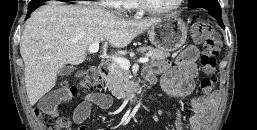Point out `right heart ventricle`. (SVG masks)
<instances>
[{
	"instance_id": "obj_1",
	"label": "right heart ventricle",
	"mask_w": 257,
	"mask_h": 130,
	"mask_svg": "<svg viewBox=\"0 0 257 130\" xmlns=\"http://www.w3.org/2000/svg\"><path fill=\"white\" fill-rule=\"evenodd\" d=\"M124 7L127 8V9H134L137 6H136V3H135V0H125Z\"/></svg>"
}]
</instances>
